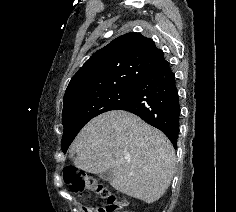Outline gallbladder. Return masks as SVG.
<instances>
[{
  "label": "gallbladder",
  "mask_w": 236,
  "mask_h": 212,
  "mask_svg": "<svg viewBox=\"0 0 236 212\" xmlns=\"http://www.w3.org/2000/svg\"><path fill=\"white\" fill-rule=\"evenodd\" d=\"M99 177H100L102 180L111 181L112 178H113V172H112L111 169L106 170V171L100 173V174H99Z\"/></svg>",
  "instance_id": "obj_1"
}]
</instances>
